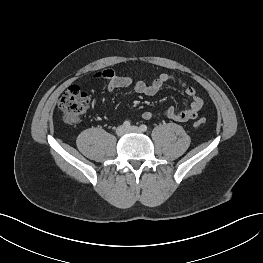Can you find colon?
I'll list each match as a JSON object with an SVG mask.
<instances>
[{"mask_svg": "<svg viewBox=\"0 0 263 263\" xmlns=\"http://www.w3.org/2000/svg\"><path fill=\"white\" fill-rule=\"evenodd\" d=\"M89 104L88 94L78 86H71L61 96L58 107L66 123L77 124L88 110ZM204 123V119H199L195 126L199 127Z\"/></svg>", "mask_w": 263, "mask_h": 263, "instance_id": "obj_1", "label": "colon"}]
</instances>
